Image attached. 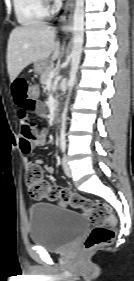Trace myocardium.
<instances>
[{"mask_svg":"<svg viewBox=\"0 0 134 281\" xmlns=\"http://www.w3.org/2000/svg\"><path fill=\"white\" fill-rule=\"evenodd\" d=\"M44 4L47 6L50 2V0H43Z\"/></svg>","mask_w":134,"mask_h":281,"instance_id":"f54148a6","label":"myocardium"}]
</instances>
